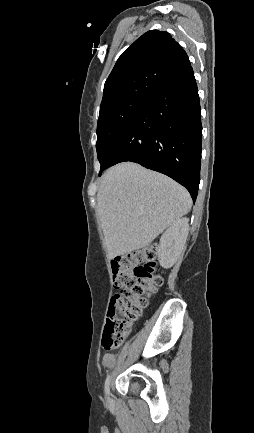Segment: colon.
<instances>
[{
  "label": "colon",
  "instance_id": "obj_1",
  "mask_svg": "<svg viewBox=\"0 0 254 433\" xmlns=\"http://www.w3.org/2000/svg\"><path fill=\"white\" fill-rule=\"evenodd\" d=\"M155 246L129 252L112 263L114 287L119 290L111 299L102 346L119 347L133 322L148 305L149 297L163 284L157 269Z\"/></svg>",
  "mask_w": 254,
  "mask_h": 433
}]
</instances>
